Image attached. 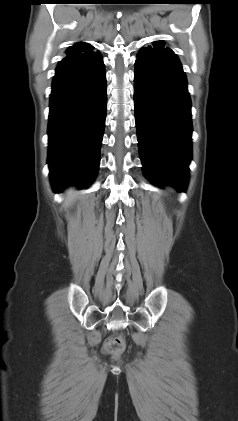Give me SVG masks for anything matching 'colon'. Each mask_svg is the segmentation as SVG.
I'll return each instance as SVG.
<instances>
[{
  "label": "colon",
  "instance_id": "5ec220e1",
  "mask_svg": "<svg viewBox=\"0 0 238 421\" xmlns=\"http://www.w3.org/2000/svg\"><path fill=\"white\" fill-rule=\"evenodd\" d=\"M104 349L110 355L119 357L125 350V341L121 336L110 337L105 342Z\"/></svg>",
  "mask_w": 238,
  "mask_h": 421
}]
</instances>
